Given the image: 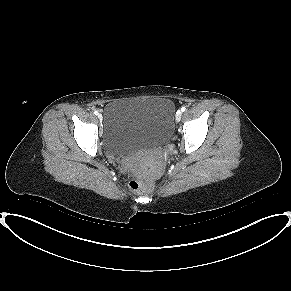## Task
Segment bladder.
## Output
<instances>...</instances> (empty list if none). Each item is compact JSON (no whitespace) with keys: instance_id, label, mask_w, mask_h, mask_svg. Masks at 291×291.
Here are the masks:
<instances>
[{"instance_id":"31cf9c89","label":"bladder","mask_w":291,"mask_h":291,"mask_svg":"<svg viewBox=\"0 0 291 291\" xmlns=\"http://www.w3.org/2000/svg\"><path fill=\"white\" fill-rule=\"evenodd\" d=\"M173 119L169 98L113 101L102 115L104 148L125 155L161 145L172 135Z\"/></svg>"}]
</instances>
